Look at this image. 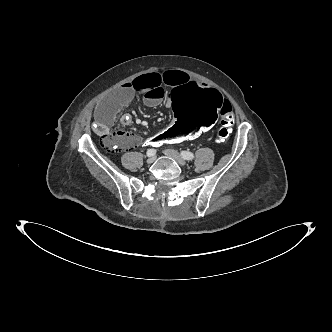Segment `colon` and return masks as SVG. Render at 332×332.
Wrapping results in <instances>:
<instances>
[{
	"instance_id": "5ec220e1",
	"label": "colon",
	"mask_w": 332,
	"mask_h": 332,
	"mask_svg": "<svg viewBox=\"0 0 332 332\" xmlns=\"http://www.w3.org/2000/svg\"><path fill=\"white\" fill-rule=\"evenodd\" d=\"M168 119L171 127L157 132L148 140L141 139L144 147L162 145L166 141L176 143L179 140L195 139L204 135L220 119L221 127L216 142L221 144L229 137L234 124V114L224 94L211 85L198 82L184 83L169 93ZM113 117L105 126L97 125L101 132L103 147L116 153L123 146L120 135L111 130Z\"/></svg>"
}]
</instances>
